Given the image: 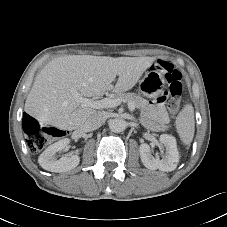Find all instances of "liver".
<instances>
[{
  "mask_svg": "<svg viewBox=\"0 0 227 227\" xmlns=\"http://www.w3.org/2000/svg\"><path fill=\"white\" fill-rule=\"evenodd\" d=\"M155 57L66 55L50 61L36 76L25 102V111L39 122L61 130L83 127L97 111L82 107L72 90L81 96H102L107 91L132 89ZM118 76L115 86L112 82Z\"/></svg>",
  "mask_w": 227,
  "mask_h": 227,
  "instance_id": "liver-1",
  "label": "liver"
}]
</instances>
